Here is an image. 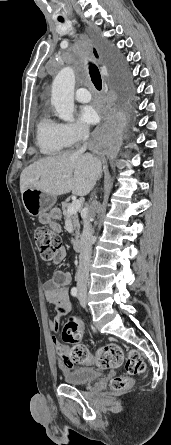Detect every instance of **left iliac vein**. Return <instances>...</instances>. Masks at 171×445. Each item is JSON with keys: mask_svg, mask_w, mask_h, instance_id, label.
<instances>
[{"mask_svg": "<svg viewBox=\"0 0 171 445\" xmlns=\"http://www.w3.org/2000/svg\"><path fill=\"white\" fill-rule=\"evenodd\" d=\"M79 300H80V304H81V306H82L83 308H85V307H86V301L82 298L81 295H80V297H79Z\"/></svg>", "mask_w": 171, "mask_h": 445, "instance_id": "1", "label": "left iliac vein"}]
</instances>
